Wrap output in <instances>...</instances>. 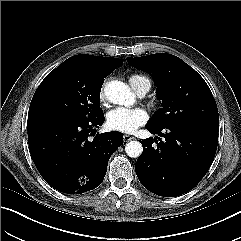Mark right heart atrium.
<instances>
[{"label":"right heart atrium","instance_id":"right-heart-atrium-1","mask_svg":"<svg viewBox=\"0 0 241 241\" xmlns=\"http://www.w3.org/2000/svg\"><path fill=\"white\" fill-rule=\"evenodd\" d=\"M100 99L103 101L104 100V86L101 88L100 90V94H99Z\"/></svg>","mask_w":241,"mask_h":241}]
</instances>
